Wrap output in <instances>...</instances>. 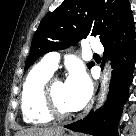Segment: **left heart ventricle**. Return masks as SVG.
I'll use <instances>...</instances> for the list:
<instances>
[{
    "label": "left heart ventricle",
    "mask_w": 136,
    "mask_h": 136,
    "mask_svg": "<svg viewBox=\"0 0 136 136\" xmlns=\"http://www.w3.org/2000/svg\"><path fill=\"white\" fill-rule=\"evenodd\" d=\"M54 98L57 103V106L65 112H71L73 111L72 108L69 106L68 100H67V92L65 83L62 81H58L55 83L53 88Z\"/></svg>",
    "instance_id": "left-heart-ventricle-1"
}]
</instances>
